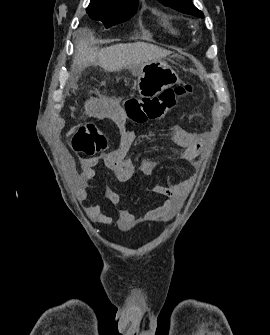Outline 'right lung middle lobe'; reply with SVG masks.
Instances as JSON below:
<instances>
[{
	"instance_id": "right-lung-middle-lobe-1",
	"label": "right lung middle lobe",
	"mask_w": 270,
	"mask_h": 335,
	"mask_svg": "<svg viewBox=\"0 0 270 335\" xmlns=\"http://www.w3.org/2000/svg\"><path fill=\"white\" fill-rule=\"evenodd\" d=\"M138 4L103 7L90 3L87 8L89 17L102 21L106 28L129 20L136 12Z\"/></svg>"
}]
</instances>
